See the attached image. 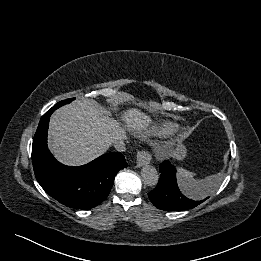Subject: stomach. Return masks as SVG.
I'll return each instance as SVG.
<instances>
[{
  "label": "stomach",
  "instance_id": "1",
  "mask_svg": "<svg viewBox=\"0 0 261 261\" xmlns=\"http://www.w3.org/2000/svg\"><path fill=\"white\" fill-rule=\"evenodd\" d=\"M186 153V148L181 142H179L176 147L171 150V155L178 160L185 158Z\"/></svg>",
  "mask_w": 261,
  "mask_h": 261
}]
</instances>
